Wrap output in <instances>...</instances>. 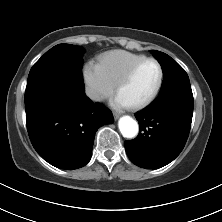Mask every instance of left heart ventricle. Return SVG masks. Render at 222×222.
I'll return each mask as SVG.
<instances>
[{"instance_id":"b2bd125f","label":"left heart ventricle","mask_w":222,"mask_h":222,"mask_svg":"<svg viewBox=\"0 0 222 222\" xmlns=\"http://www.w3.org/2000/svg\"><path fill=\"white\" fill-rule=\"evenodd\" d=\"M159 71L156 64L148 62L143 64L135 73L132 80L124 86L118 94L130 105L140 103L147 99L157 85Z\"/></svg>"}]
</instances>
